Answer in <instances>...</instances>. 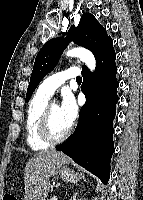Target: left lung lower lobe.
<instances>
[{
	"label": "left lung lower lobe",
	"mask_w": 143,
	"mask_h": 200,
	"mask_svg": "<svg viewBox=\"0 0 143 200\" xmlns=\"http://www.w3.org/2000/svg\"><path fill=\"white\" fill-rule=\"evenodd\" d=\"M96 70L82 68V92L86 103L70 138L56 149L70 156L104 184L110 177V161L114 153L113 119L118 102L116 54L110 40L96 55Z\"/></svg>",
	"instance_id": "obj_1"
}]
</instances>
